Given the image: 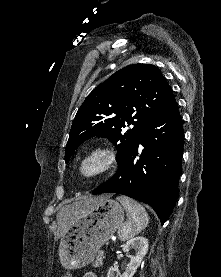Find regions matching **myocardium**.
<instances>
[{"instance_id": "myocardium-1", "label": "myocardium", "mask_w": 221, "mask_h": 277, "mask_svg": "<svg viewBox=\"0 0 221 277\" xmlns=\"http://www.w3.org/2000/svg\"><path fill=\"white\" fill-rule=\"evenodd\" d=\"M116 161V154L112 148L97 146L89 150L79 161L78 173L84 179H93L109 171ZM92 165L90 169H87Z\"/></svg>"}]
</instances>
